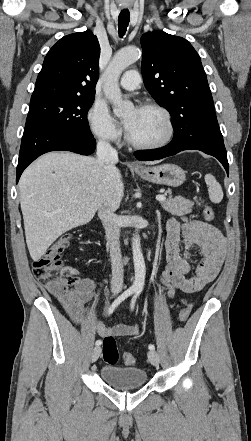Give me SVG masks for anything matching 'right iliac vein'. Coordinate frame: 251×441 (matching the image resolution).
<instances>
[{
    "mask_svg": "<svg viewBox=\"0 0 251 441\" xmlns=\"http://www.w3.org/2000/svg\"><path fill=\"white\" fill-rule=\"evenodd\" d=\"M101 354V347L100 346H96L93 351H92V355H91V362H95L99 356Z\"/></svg>",
    "mask_w": 251,
    "mask_h": 441,
    "instance_id": "obj_1",
    "label": "right iliac vein"
}]
</instances>
